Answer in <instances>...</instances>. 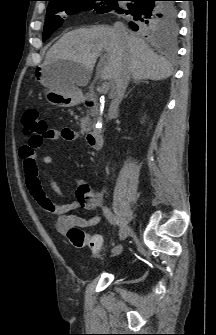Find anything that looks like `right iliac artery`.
<instances>
[{"mask_svg":"<svg viewBox=\"0 0 216 335\" xmlns=\"http://www.w3.org/2000/svg\"><path fill=\"white\" fill-rule=\"evenodd\" d=\"M103 213L105 215V217L108 219V221L116 226L118 225L119 221L118 219L116 218V216L114 215V213L106 206L103 207ZM122 245H116L115 247L112 248L111 250V253L113 256L115 255H119L121 252H122Z\"/></svg>","mask_w":216,"mask_h":335,"instance_id":"82829eb1","label":"right iliac artery"}]
</instances>
